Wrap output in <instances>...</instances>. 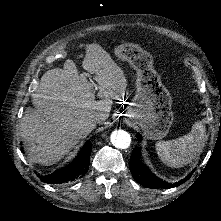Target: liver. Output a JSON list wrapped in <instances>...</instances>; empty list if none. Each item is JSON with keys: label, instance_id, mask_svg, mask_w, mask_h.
Masks as SVG:
<instances>
[{"label": "liver", "instance_id": "liver-1", "mask_svg": "<svg viewBox=\"0 0 221 221\" xmlns=\"http://www.w3.org/2000/svg\"><path fill=\"white\" fill-rule=\"evenodd\" d=\"M82 67L89 74H95L99 100L88 91L89 84L80 78L69 60L63 68L44 73L39 87L32 93V102L38 111H28L20 122L22 138L28 142L26 155L31 162L50 166L63 161L76 144L94 130L90 116L99 114L97 124H104L113 98L124 95L122 72L101 47H85Z\"/></svg>", "mask_w": 221, "mask_h": 221}]
</instances>
